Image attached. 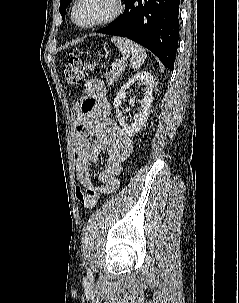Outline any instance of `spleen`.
Here are the masks:
<instances>
[{
    "mask_svg": "<svg viewBox=\"0 0 239 303\" xmlns=\"http://www.w3.org/2000/svg\"><path fill=\"white\" fill-rule=\"evenodd\" d=\"M111 41L123 54L130 55V67L139 68L147 57L146 50L139 44L122 37H113Z\"/></svg>",
    "mask_w": 239,
    "mask_h": 303,
    "instance_id": "obj_1",
    "label": "spleen"
}]
</instances>
